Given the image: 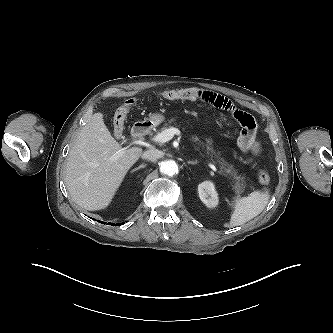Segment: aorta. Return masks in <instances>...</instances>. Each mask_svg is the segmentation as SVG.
<instances>
[{
	"label": "aorta",
	"mask_w": 333,
	"mask_h": 333,
	"mask_svg": "<svg viewBox=\"0 0 333 333\" xmlns=\"http://www.w3.org/2000/svg\"><path fill=\"white\" fill-rule=\"evenodd\" d=\"M160 172L168 176H173L178 172V165L174 160L163 161L160 165Z\"/></svg>",
	"instance_id": "1"
}]
</instances>
